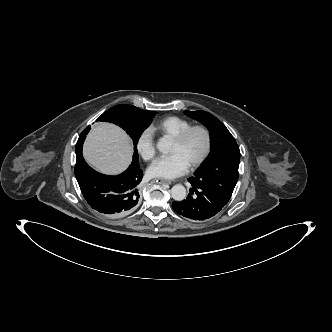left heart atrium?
I'll use <instances>...</instances> for the list:
<instances>
[{
    "instance_id": "1",
    "label": "left heart atrium",
    "mask_w": 332,
    "mask_h": 332,
    "mask_svg": "<svg viewBox=\"0 0 332 332\" xmlns=\"http://www.w3.org/2000/svg\"><path fill=\"white\" fill-rule=\"evenodd\" d=\"M189 164L177 153L156 159L148 168L150 177L173 179L187 172Z\"/></svg>"
}]
</instances>
